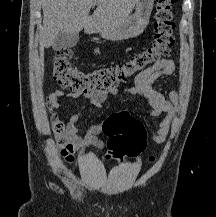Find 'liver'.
<instances>
[{
    "label": "liver",
    "mask_w": 216,
    "mask_h": 217,
    "mask_svg": "<svg viewBox=\"0 0 216 217\" xmlns=\"http://www.w3.org/2000/svg\"><path fill=\"white\" fill-rule=\"evenodd\" d=\"M138 0H42L43 27L40 52L54 44L60 32L97 33L116 28L132 12ZM97 5L94 13L90 10Z\"/></svg>",
    "instance_id": "obj_1"
}]
</instances>
